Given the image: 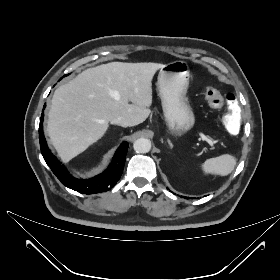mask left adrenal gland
I'll return each mask as SVG.
<instances>
[{
  "label": "left adrenal gland",
  "mask_w": 280,
  "mask_h": 280,
  "mask_svg": "<svg viewBox=\"0 0 280 280\" xmlns=\"http://www.w3.org/2000/svg\"><path fill=\"white\" fill-rule=\"evenodd\" d=\"M168 144H169L170 148L172 149L173 148V144L171 143L170 140H168Z\"/></svg>",
  "instance_id": "left-adrenal-gland-1"
}]
</instances>
